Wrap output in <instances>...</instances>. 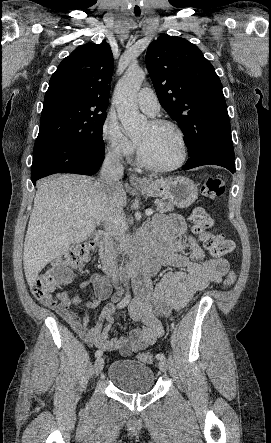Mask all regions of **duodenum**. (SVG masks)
Masks as SVG:
<instances>
[{
	"instance_id": "410a0bca",
	"label": "duodenum",
	"mask_w": 271,
	"mask_h": 443,
	"mask_svg": "<svg viewBox=\"0 0 271 443\" xmlns=\"http://www.w3.org/2000/svg\"><path fill=\"white\" fill-rule=\"evenodd\" d=\"M95 243L100 250V259L103 271L109 276H141L145 267L146 257L144 254L136 256L124 267H119L111 246L110 236L99 232L95 236Z\"/></svg>"
}]
</instances>
